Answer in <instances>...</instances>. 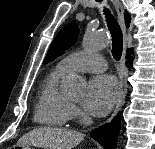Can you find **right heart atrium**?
<instances>
[{
	"label": "right heart atrium",
	"instance_id": "right-heart-atrium-1",
	"mask_svg": "<svg viewBox=\"0 0 155 149\" xmlns=\"http://www.w3.org/2000/svg\"><path fill=\"white\" fill-rule=\"evenodd\" d=\"M71 118L79 119L81 121H86L87 117L80 110V108L74 104H71Z\"/></svg>",
	"mask_w": 155,
	"mask_h": 149
}]
</instances>
